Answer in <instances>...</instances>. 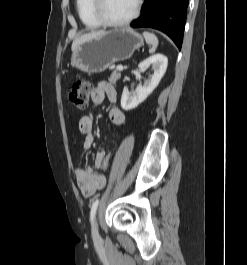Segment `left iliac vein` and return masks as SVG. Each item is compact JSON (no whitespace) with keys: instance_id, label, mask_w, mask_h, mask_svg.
<instances>
[{"instance_id":"1","label":"left iliac vein","mask_w":247,"mask_h":265,"mask_svg":"<svg viewBox=\"0 0 247 265\" xmlns=\"http://www.w3.org/2000/svg\"><path fill=\"white\" fill-rule=\"evenodd\" d=\"M91 232H92V236H93V237H97V236H98V226H97V221H96V219H94V221L92 222V229H91Z\"/></svg>"}]
</instances>
